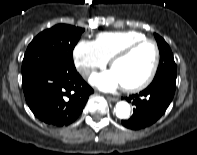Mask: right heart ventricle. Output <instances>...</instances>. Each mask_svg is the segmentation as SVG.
<instances>
[{
    "mask_svg": "<svg viewBox=\"0 0 197 155\" xmlns=\"http://www.w3.org/2000/svg\"><path fill=\"white\" fill-rule=\"evenodd\" d=\"M146 36L135 30L104 31L96 35L95 43L107 59H110L124 46L145 39Z\"/></svg>",
    "mask_w": 197,
    "mask_h": 155,
    "instance_id": "e07e8e85",
    "label": "right heart ventricle"
}]
</instances>
